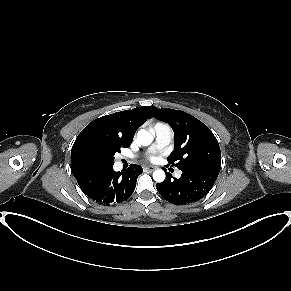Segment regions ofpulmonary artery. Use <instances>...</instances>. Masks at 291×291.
Listing matches in <instances>:
<instances>
[{"label": "pulmonary artery", "instance_id": "e3ab8cb5", "mask_svg": "<svg viewBox=\"0 0 291 291\" xmlns=\"http://www.w3.org/2000/svg\"><path fill=\"white\" fill-rule=\"evenodd\" d=\"M156 139L153 146L150 148V151L161 150L166 148L171 140H172V130L166 124H159L154 127ZM181 173L179 171L176 172V177H180Z\"/></svg>", "mask_w": 291, "mask_h": 291}]
</instances>
